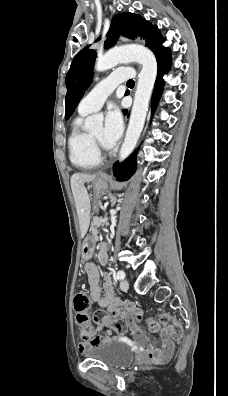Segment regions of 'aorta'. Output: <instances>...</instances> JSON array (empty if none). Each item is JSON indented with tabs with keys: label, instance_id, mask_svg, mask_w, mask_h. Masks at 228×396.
I'll return each instance as SVG.
<instances>
[{
	"label": "aorta",
	"instance_id": "1",
	"mask_svg": "<svg viewBox=\"0 0 228 396\" xmlns=\"http://www.w3.org/2000/svg\"><path fill=\"white\" fill-rule=\"evenodd\" d=\"M138 62L142 65L134 96L129 125L124 142L119 152V160L126 159L135 148L143 130L150 97L157 76V61L154 54L144 46L129 45L108 51L99 57L95 64V70L103 72L125 62ZM103 117L98 115L89 116L85 120V128L88 130L102 126Z\"/></svg>",
	"mask_w": 228,
	"mask_h": 396
}]
</instances>
